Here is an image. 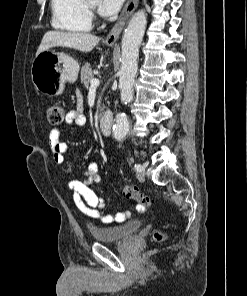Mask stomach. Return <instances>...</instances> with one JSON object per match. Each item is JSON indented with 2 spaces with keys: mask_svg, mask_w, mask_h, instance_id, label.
<instances>
[{
  "mask_svg": "<svg viewBox=\"0 0 247 296\" xmlns=\"http://www.w3.org/2000/svg\"><path fill=\"white\" fill-rule=\"evenodd\" d=\"M79 72L78 62L64 53L45 50L32 62L31 77L36 90L48 96L62 94L66 82H74Z\"/></svg>",
  "mask_w": 247,
  "mask_h": 296,
  "instance_id": "1",
  "label": "stomach"
}]
</instances>
